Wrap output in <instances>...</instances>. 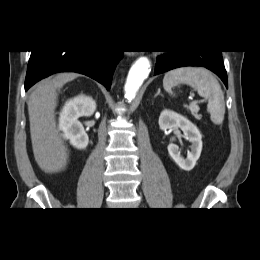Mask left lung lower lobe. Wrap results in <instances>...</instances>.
I'll return each instance as SVG.
<instances>
[{"label":"left lung lower lobe","instance_id":"left-lung-lower-lobe-1","mask_svg":"<svg viewBox=\"0 0 260 260\" xmlns=\"http://www.w3.org/2000/svg\"><path fill=\"white\" fill-rule=\"evenodd\" d=\"M185 66H200L211 70L220 77L228 88L227 73L219 50L178 51L176 54L158 56L155 75Z\"/></svg>","mask_w":260,"mask_h":260}]
</instances>
